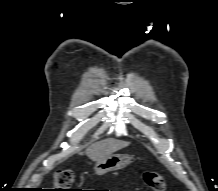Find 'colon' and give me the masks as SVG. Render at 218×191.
<instances>
[{
	"instance_id": "obj_1",
	"label": "colon",
	"mask_w": 218,
	"mask_h": 191,
	"mask_svg": "<svg viewBox=\"0 0 218 191\" xmlns=\"http://www.w3.org/2000/svg\"><path fill=\"white\" fill-rule=\"evenodd\" d=\"M74 172L71 170H62L54 176V191H77L73 190L71 186L74 183ZM144 183L152 191H164L166 187L164 176L158 171H149L143 175Z\"/></svg>"
}]
</instances>
